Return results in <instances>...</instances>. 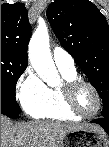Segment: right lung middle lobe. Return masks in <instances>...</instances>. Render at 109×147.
I'll use <instances>...</instances> for the list:
<instances>
[{
    "instance_id": "right-lung-middle-lobe-1",
    "label": "right lung middle lobe",
    "mask_w": 109,
    "mask_h": 147,
    "mask_svg": "<svg viewBox=\"0 0 109 147\" xmlns=\"http://www.w3.org/2000/svg\"><path fill=\"white\" fill-rule=\"evenodd\" d=\"M26 67L24 62L1 52V103L16 114L21 109L15 100V86Z\"/></svg>"
}]
</instances>
